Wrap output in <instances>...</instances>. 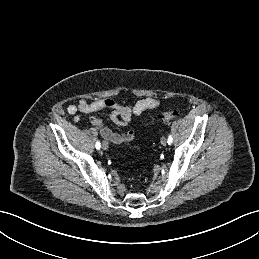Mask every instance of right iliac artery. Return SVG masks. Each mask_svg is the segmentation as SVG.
Masks as SVG:
<instances>
[{"label": "right iliac artery", "mask_w": 259, "mask_h": 259, "mask_svg": "<svg viewBox=\"0 0 259 259\" xmlns=\"http://www.w3.org/2000/svg\"><path fill=\"white\" fill-rule=\"evenodd\" d=\"M95 146H96V149H100V147H101L100 142H99V141H97Z\"/></svg>", "instance_id": "right-iliac-artery-1"}]
</instances>
